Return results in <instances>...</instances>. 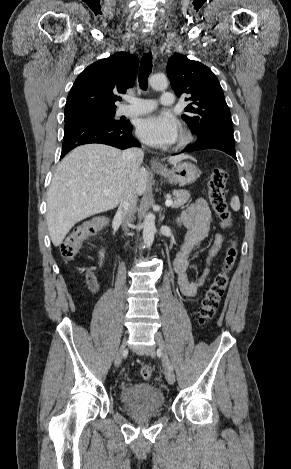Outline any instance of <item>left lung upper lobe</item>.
<instances>
[{
  "label": "left lung upper lobe",
  "mask_w": 291,
  "mask_h": 469,
  "mask_svg": "<svg viewBox=\"0 0 291 469\" xmlns=\"http://www.w3.org/2000/svg\"><path fill=\"white\" fill-rule=\"evenodd\" d=\"M167 74L177 96L187 94L185 100L192 102L185 108L189 115L182 118L198 138L212 133L233 135L231 113L222 88L207 66L174 54L168 61Z\"/></svg>",
  "instance_id": "1"
}]
</instances>
